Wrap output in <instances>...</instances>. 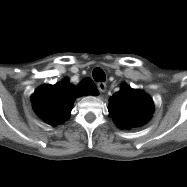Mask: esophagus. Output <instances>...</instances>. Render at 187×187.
Masks as SVG:
<instances>
[{
    "label": "esophagus",
    "instance_id": "34e87169",
    "mask_svg": "<svg viewBox=\"0 0 187 187\" xmlns=\"http://www.w3.org/2000/svg\"><path fill=\"white\" fill-rule=\"evenodd\" d=\"M97 87L100 92H105L106 90V84L104 82H98Z\"/></svg>",
    "mask_w": 187,
    "mask_h": 187
}]
</instances>
